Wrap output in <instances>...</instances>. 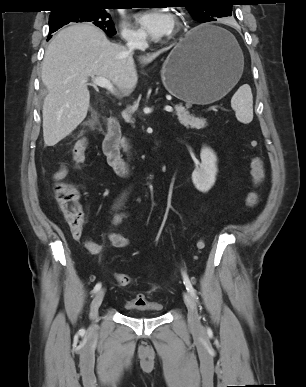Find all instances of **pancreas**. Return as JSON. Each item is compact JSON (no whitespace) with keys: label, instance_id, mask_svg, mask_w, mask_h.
I'll use <instances>...</instances> for the list:
<instances>
[{"label":"pancreas","instance_id":"cf45deb5","mask_svg":"<svg viewBox=\"0 0 306 387\" xmlns=\"http://www.w3.org/2000/svg\"><path fill=\"white\" fill-rule=\"evenodd\" d=\"M176 115L179 123L186 128L203 129L207 126L205 119H200L193 115H190L189 111L182 105H175ZM204 121V124L202 123ZM121 145L124 150L127 149L125 139L121 140Z\"/></svg>","mask_w":306,"mask_h":387}]
</instances>
